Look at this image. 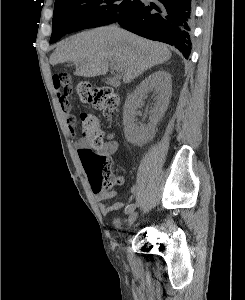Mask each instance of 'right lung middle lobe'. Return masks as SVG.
<instances>
[{"label":"right lung middle lobe","instance_id":"1","mask_svg":"<svg viewBox=\"0 0 245 300\" xmlns=\"http://www.w3.org/2000/svg\"><path fill=\"white\" fill-rule=\"evenodd\" d=\"M141 0H58L54 5L50 43L61 38L55 27L59 20L77 24L81 29L112 24L128 15Z\"/></svg>","mask_w":245,"mask_h":300}]
</instances>
